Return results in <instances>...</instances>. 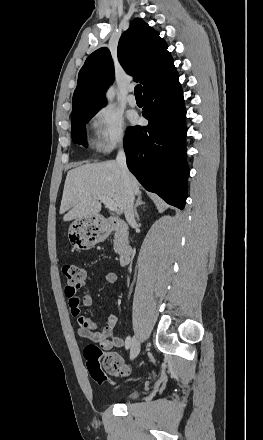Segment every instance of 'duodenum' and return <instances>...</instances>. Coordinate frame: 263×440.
<instances>
[{
  "label": "duodenum",
  "mask_w": 263,
  "mask_h": 440,
  "mask_svg": "<svg viewBox=\"0 0 263 440\" xmlns=\"http://www.w3.org/2000/svg\"><path fill=\"white\" fill-rule=\"evenodd\" d=\"M103 227H105V237H108L111 232H117L118 233V241H119V257H118V264L120 266L126 265L130 257L133 253V248L129 241L126 238V232L128 225L127 223L113 217H107L103 221L102 224Z\"/></svg>",
  "instance_id": "obj_1"
}]
</instances>
